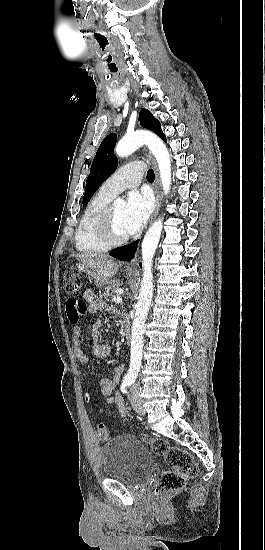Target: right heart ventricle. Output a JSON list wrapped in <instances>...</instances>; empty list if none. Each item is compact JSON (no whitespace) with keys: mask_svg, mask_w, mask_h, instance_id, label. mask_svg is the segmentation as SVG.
Instances as JSON below:
<instances>
[{"mask_svg":"<svg viewBox=\"0 0 265 550\" xmlns=\"http://www.w3.org/2000/svg\"><path fill=\"white\" fill-rule=\"evenodd\" d=\"M114 197L100 188L88 201L75 233V245L81 252H104L109 246L97 231V222Z\"/></svg>","mask_w":265,"mask_h":550,"instance_id":"e07e8e85","label":"right heart ventricle"}]
</instances>
